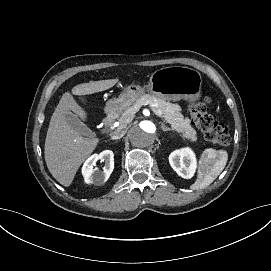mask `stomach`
Returning <instances> with one entry per match:
<instances>
[{
	"instance_id": "1",
	"label": "stomach",
	"mask_w": 271,
	"mask_h": 271,
	"mask_svg": "<svg viewBox=\"0 0 271 271\" xmlns=\"http://www.w3.org/2000/svg\"><path fill=\"white\" fill-rule=\"evenodd\" d=\"M201 74L188 67L170 66L161 68L152 73L149 84L128 85L118 99L107 102V112H122L141 99L145 90L152 95L168 101L188 99L195 101L201 95Z\"/></svg>"
}]
</instances>
